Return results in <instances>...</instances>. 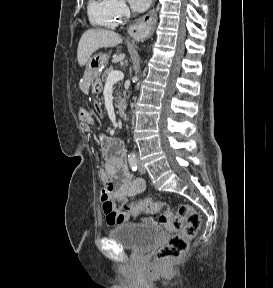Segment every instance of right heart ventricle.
Instances as JSON below:
<instances>
[{
	"label": "right heart ventricle",
	"instance_id": "right-heart-ventricle-1",
	"mask_svg": "<svg viewBox=\"0 0 273 288\" xmlns=\"http://www.w3.org/2000/svg\"><path fill=\"white\" fill-rule=\"evenodd\" d=\"M88 16L95 26L116 28L121 23L112 0H89Z\"/></svg>",
	"mask_w": 273,
	"mask_h": 288
}]
</instances>
